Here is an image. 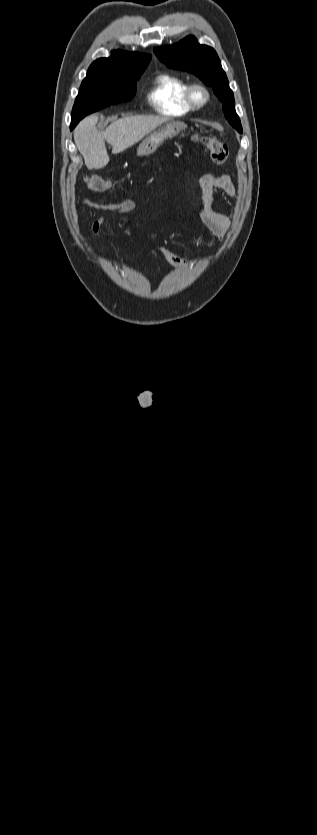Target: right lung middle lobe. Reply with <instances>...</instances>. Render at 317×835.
<instances>
[{"mask_svg": "<svg viewBox=\"0 0 317 835\" xmlns=\"http://www.w3.org/2000/svg\"><path fill=\"white\" fill-rule=\"evenodd\" d=\"M147 64L130 71L87 75L73 106L70 129L86 115L106 106L129 101L136 93V80Z\"/></svg>", "mask_w": 317, "mask_h": 835, "instance_id": "right-lung-middle-lobe-1", "label": "right lung middle lobe"}]
</instances>
